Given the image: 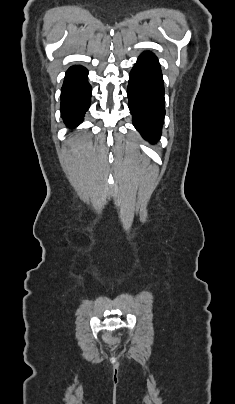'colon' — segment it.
<instances>
[{"instance_id":"obj_1","label":"colon","mask_w":235,"mask_h":404,"mask_svg":"<svg viewBox=\"0 0 235 404\" xmlns=\"http://www.w3.org/2000/svg\"><path fill=\"white\" fill-rule=\"evenodd\" d=\"M107 339L110 341V338H109V337H107Z\"/></svg>"}]
</instances>
